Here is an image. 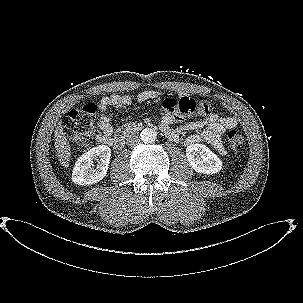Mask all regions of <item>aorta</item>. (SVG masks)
Wrapping results in <instances>:
<instances>
[{"instance_id": "1", "label": "aorta", "mask_w": 303, "mask_h": 303, "mask_svg": "<svg viewBox=\"0 0 303 303\" xmlns=\"http://www.w3.org/2000/svg\"><path fill=\"white\" fill-rule=\"evenodd\" d=\"M140 138L144 143H152L157 139V132L153 128H145L141 131Z\"/></svg>"}]
</instances>
